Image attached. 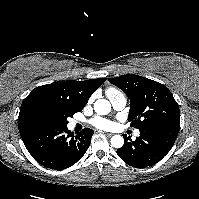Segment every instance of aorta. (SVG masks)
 Listing matches in <instances>:
<instances>
[{"mask_svg": "<svg viewBox=\"0 0 199 199\" xmlns=\"http://www.w3.org/2000/svg\"><path fill=\"white\" fill-rule=\"evenodd\" d=\"M94 110L99 115H107L111 111V104L106 99H99L94 103ZM124 144V139L120 135H115L111 138V145L114 148H121Z\"/></svg>", "mask_w": 199, "mask_h": 199, "instance_id": "1", "label": "aorta"}]
</instances>
